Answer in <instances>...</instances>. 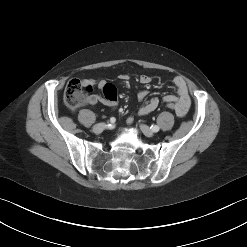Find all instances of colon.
<instances>
[{"mask_svg":"<svg viewBox=\"0 0 247 247\" xmlns=\"http://www.w3.org/2000/svg\"><path fill=\"white\" fill-rule=\"evenodd\" d=\"M64 103L70 110H76L85 103V87L79 80H71L66 85L64 91ZM165 103L170 110L176 112L177 106L174 102Z\"/></svg>","mask_w":247,"mask_h":247,"instance_id":"colon-1","label":"colon"}]
</instances>
